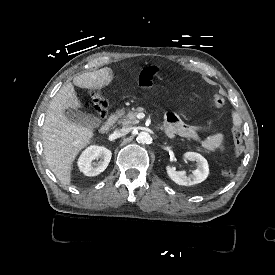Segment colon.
I'll return each mask as SVG.
<instances>
[{
  "instance_id": "obj_1",
  "label": "colon",
  "mask_w": 275,
  "mask_h": 275,
  "mask_svg": "<svg viewBox=\"0 0 275 275\" xmlns=\"http://www.w3.org/2000/svg\"><path fill=\"white\" fill-rule=\"evenodd\" d=\"M147 68H157L155 66L147 67ZM97 93V91H96ZM81 104L86 109H95L99 115H103L108 107V101L103 97H96V99H82ZM226 101L224 96L220 94H215L211 99V105L215 107H223L225 106ZM233 138L235 143V157H238L243 152V142L241 137V132L238 128L233 129ZM225 177H232L234 175L232 168H226L223 172Z\"/></svg>"
}]
</instances>
